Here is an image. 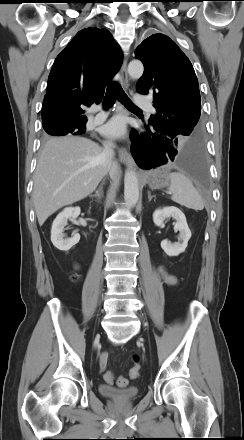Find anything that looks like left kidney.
Segmentation results:
<instances>
[{
	"label": "left kidney",
	"mask_w": 244,
	"mask_h": 440,
	"mask_svg": "<svg viewBox=\"0 0 244 440\" xmlns=\"http://www.w3.org/2000/svg\"><path fill=\"white\" fill-rule=\"evenodd\" d=\"M172 217L176 220L175 229L180 232L178 242L171 243L168 240L161 242V248L168 256H178L183 253L191 238V231L188 227L184 213L177 207H164L153 213V222L156 226L163 224L166 218Z\"/></svg>",
	"instance_id": "left-kidney-1"
}]
</instances>
